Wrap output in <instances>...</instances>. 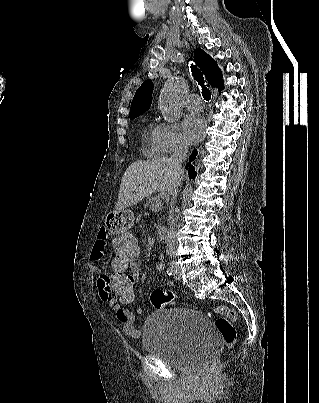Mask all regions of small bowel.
Segmentation results:
<instances>
[{
    "mask_svg": "<svg viewBox=\"0 0 319 403\" xmlns=\"http://www.w3.org/2000/svg\"><path fill=\"white\" fill-rule=\"evenodd\" d=\"M108 246V233L106 229L101 228L98 231L97 239L93 245L90 258L94 262H101L105 256ZM139 254H137L138 256ZM113 268V267H112ZM164 262L162 257L156 263V269L158 271L163 270ZM133 270L134 282L138 281L139 268H131ZM113 275L106 273L97 280V288L101 299L115 312L116 319L122 324L124 333L133 341H139L142 338L141 331L135 325L136 314L141 313L140 308L135 310H129L125 307L128 304H118V300H115L113 292ZM168 287L173 286L172 281H167Z\"/></svg>",
    "mask_w": 319,
    "mask_h": 403,
    "instance_id": "c3829d8e",
    "label": "small bowel"
}]
</instances>
